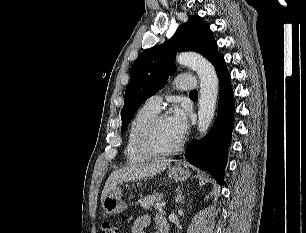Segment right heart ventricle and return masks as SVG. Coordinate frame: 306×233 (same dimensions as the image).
Instances as JSON below:
<instances>
[{"mask_svg": "<svg viewBox=\"0 0 306 233\" xmlns=\"http://www.w3.org/2000/svg\"><path fill=\"white\" fill-rule=\"evenodd\" d=\"M157 112L158 110L151 108L145 103L131 120L125 146V156L129 163H139L150 158V156L140 151L138 136L145 123Z\"/></svg>", "mask_w": 306, "mask_h": 233, "instance_id": "e07e8e85", "label": "right heart ventricle"}]
</instances>
